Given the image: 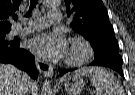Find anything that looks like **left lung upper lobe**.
I'll return each instance as SVG.
<instances>
[{"label": "left lung upper lobe", "mask_w": 135, "mask_h": 95, "mask_svg": "<svg viewBox=\"0 0 135 95\" xmlns=\"http://www.w3.org/2000/svg\"><path fill=\"white\" fill-rule=\"evenodd\" d=\"M68 16H73L72 28L87 39L94 55L118 53V43L102 0H65Z\"/></svg>", "instance_id": "1"}]
</instances>
